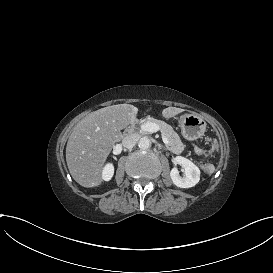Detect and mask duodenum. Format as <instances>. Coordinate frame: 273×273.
I'll list each match as a JSON object with an SVG mask.
<instances>
[{
    "label": "duodenum",
    "mask_w": 273,
    "mask_h": 273,
    "mask_svg": "<svg viewBox=\"0 0 273 273\" xmlns=\"http://www.w3.org/2000/svg\"><path fill=\"white\" fill-rule=\"evenodd\" d=\"M132 126H133V123H132V125H131L130 129H132Z\"/></svg>",
    "instance_id": "duodenum-1"
}]
</instances>
